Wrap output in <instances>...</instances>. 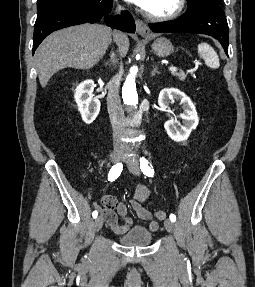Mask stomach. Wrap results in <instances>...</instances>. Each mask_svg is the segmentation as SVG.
I'll return each instance as SVG.
<instances>
[{
  "label": "stomach",
  "instance_id": "1",
  "mask_svg": "<svg viewBox=\"0 0 255 287\" xmlns=\"http://www.w3.org/2000/svg\"><path fill=\"white\" fill-rule=\"evenodd\" d=\"M147 38L152 40L153 36H147ZM152 50L156 56H159V58H166V56H170V54H172L173 46L167 38H157V40H154L152 44Z\"/></svg>",
  "mask_w": 255,
  "mask_h": 287
}]
</instances>
